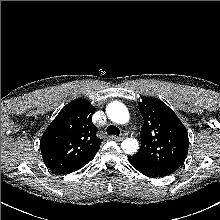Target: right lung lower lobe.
Segmentation results:
<instances>
[{
  "mask_svg": "<svg viewBox=\"0 0 220 220\" xmlns=\"http://www.w3.org/2000/svg\"><path fill=\"white\" fill-rule=\"evenodd\" d=\"M86 163H88V162H86ZM86 163L81 164V165L74 166V167H72L71 169H68V170H66V171H64V172H62V173H60V174H68V173H72V172H74V171H77L78 169L82 168Z\"/></svg>",
  "mask_w": 220,
  "mask_h": 220,
  "instance_id": "98d812e1",
  "label": "right lung lower lobe"
}]
</instances>
